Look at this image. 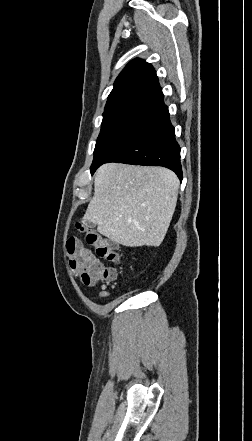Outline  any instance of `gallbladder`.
<instances>
[{"label": "gallbladder", "mask_w": 252, "mask_h": 441, "mask_svg": "<svg viewBox=\"0 0 252 441\" xmlns=\"http://www.w3.org/2000/svg\"><path fill=\"white\" fill-rule=\"evenodd\" d=\"M85 225H86V227L91 228V229L96 227V224L93 222H85Z\"/></svg>", "instance_id": "1"}]
</instances>
